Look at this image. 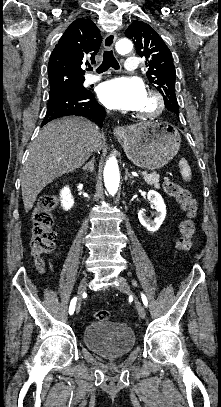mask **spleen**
Returning <instances> with one entry per match:
<instances>
[{
  "label": "spleen",
  "instance_id": "3e777b00",
  "mask_svg": "<svg viewBox=\"0 0 221 407\" xmlns=\"http://www.w3.org/2000/svg\"><path fill=\"white\" fill-rule=\"evenodd\" d=\"M180 173L184 181L191 180V168L185 158L180 159L179 161Z\"/></svg>",
  "mask_w": 221,
  "mask_h": 407
}]
</instances>
